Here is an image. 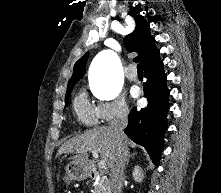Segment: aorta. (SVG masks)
Masks as SVG:
<instances>
[{"label":"aorta","mask_w":221,"mask_h":193,"mask_svg":"<svg viewBox=\"0 0 221 193\" xmlns=\"http://www.w3.org/2000/svg\"><path fill=\"white\" fill-rule=\"evenodd\" d=\"M95 95L102 100H113L123 86L122 66L119 57L112 50L100 52L92 63Z\"/></svg>","instance_id":"762f6f07"}]
</instances>
